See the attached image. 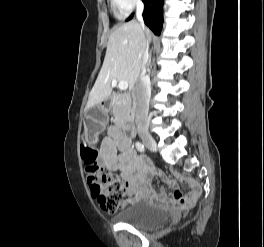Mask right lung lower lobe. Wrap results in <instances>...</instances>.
<instances>
[{
	"label": "right lung lower lobe",
	"mask_w": 264,
	"mask_h": 247,
	"mask_svg": "<svg viewBox=\"0 0 264 247\" xmlns=\"http://www.w3.org/2000/svg\"><path fill=\"white\" fill-rule=\"evenodd\" d=\"M145 8L143 12V19L145 24L154 32L156 35H160L163 25V2L164 0H142ZM133 14L127 19L130 20Z\"/></svg>",
	"instance_id": "98d812e1"
}]
</instances>
